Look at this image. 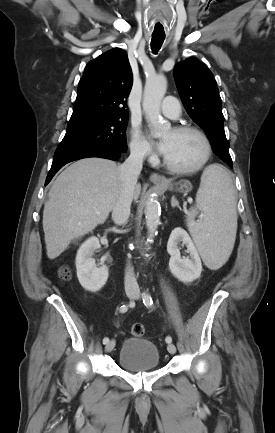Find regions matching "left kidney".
Segmentation results:
<instances>
[{"label":"left kidney","mask_w":275,"mask_h":433,"mask_svg":"<svg viewBox=\"0 0 275 433\" xmlns=\"http://www.w3.org/2000/svg\"><path fill=\"white\" fill-rule=\"evenodd\" d=\"M180 242L186 245L187 252L190 254L189 257H181L178 248ZM167 252L171 256L169 260L170 271L178 280L188 283L200 277L202 264L198 251L189 234L181 227H177L171 232L167 243Z\"/></svg>","instance_id":"1"}]
</instances>
